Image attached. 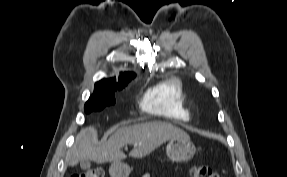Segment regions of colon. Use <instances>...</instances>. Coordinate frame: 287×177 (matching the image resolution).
<instances>
[{"label": "colon", "mask_w": 287, "mask_h": 177, "mask_svg": "<svg viewBox=\"0 0 287 177\" xmlns=\"http://www.w3.org/2000/svg\"><path fill=\"white\" fill-rule=\"evenodd\" d=\"M70 177H104V171L101 168H92L83 174H75ZM191 177H219V175L210 166L200 164L191 169Z\"/></svg>", "instance_id": "colon-1"}]
</instances>
